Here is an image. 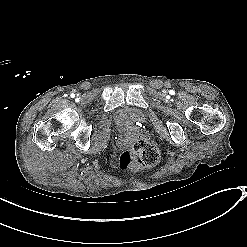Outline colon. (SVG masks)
Returning a JSON list of instances; mask_svg holds the SVG:
<instances>
[{"mask_svg":"<svg viewBox=\"0 0 247 247\" xmlns=\"http://www.w3.org/2000/svg\"><path fill=\"white\" fill-rule=\"evenodd\" d=\"M160 153L152 142L141 140L131 151L124 152L119 159L121 168L150 167L159 162Z\"/></svg>","mask_w":247,"mask_h":247,"instance_id":"obj_1","label":"colon"}]
</instances>
